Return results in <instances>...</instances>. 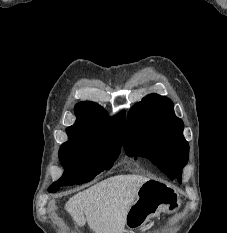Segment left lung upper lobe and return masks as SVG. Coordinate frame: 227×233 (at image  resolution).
Segmentation results:
<instances>
[{"instance_id":"left-lung-upper-lobe-1","label":"left lung upper lobe","mask_w":227,"mask_h":233,"mask_svg":"<svg viewBox=\"0 0 227 233\" xmlns=\"http://www.w3.org/2000/svg\"><path fill=\"white\" fill-rule=\"evenodd\" d=\"M183 121L175 116L173 102L150 94L128 113L124 149L128 156L149 158L170 179L177 177L189 157V144L183 136Z\"/></svg>"}]
</instances>
